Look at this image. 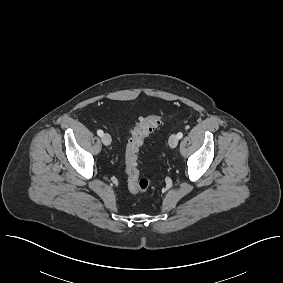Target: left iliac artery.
<instances>
[{"label": "left iliac artery", "instance_id": "obj_1", "mask_svg": "<svg viewBox=\"0 0 283 283\" xmlns=\"http://www.w3.org/2000/svg\"><path fill=\"white\" fill-rule=\"evenodd\" d=\"M177 137H178V139H181V138L183 137V133H182V132H179V133L177 134Z\"/></svg>", "mask_w": 283, "mask_h": 283}]
</instances>
